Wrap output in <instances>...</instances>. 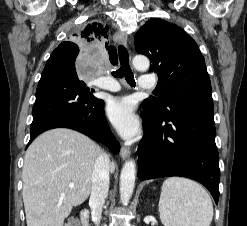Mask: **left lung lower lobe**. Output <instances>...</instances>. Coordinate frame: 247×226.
<instances>
[{
	"label": "left lung lower lobe",
	"instance_id": "left-lung-lower-lobe-1",
	"mask_svg": "<svg viewBox=\"0 0 247 226\" xmlns=\"http://www.w3.org/2000/svg\"><path fill=\"white\" fill-rule=\"evenodd\" d=\"M142 120L138 178L188 177L203 184L217 204L220 170L211 92L176 96L164 114L145 109Z\"/></svg>",
	"mask_w": 247,
	"mask_h": 226
}]
</instances>
